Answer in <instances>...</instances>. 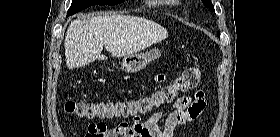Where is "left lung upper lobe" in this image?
I'll return each mask as SVG.
<instances>
[{
	"label": "left lung upper lobe",
	"mask_w": 280,
	"mask_h": 137,
	"mask_svg": "<svg viewBox=\"0 0 280 137\" xmlns=\"http://www.w3.org/2000/svg\"><path fill=\"white\" fill-rule=\"evenodd\" d=\"M204 5L214 11V6L211 3V0H203ZM217 35L220 37V33L218 32Z\"/></svg>",
	"instance_id": "obj_1"
}]
</instances>
